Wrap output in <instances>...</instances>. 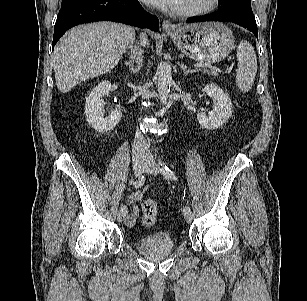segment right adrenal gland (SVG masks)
Segmentation results:
<instances>
[{
	"mask_svg": "<svg viewBox=\"0 0 307 301\" xmlns=\"http://www.w3.org/2000/svg\"><path fill=\"white\" fill-rule=\"evenodd\" d=\"M125 65L129 66V70L131 72H137L140 68V66L138 65L137 67H134L133 62L132 61H125Z\"/></svg>",
	"mask_w": 307,
	"mask_h": 301,
	"instance_id": "obj_1",
	"label": "right adrenal gland"
}]
</instances>
